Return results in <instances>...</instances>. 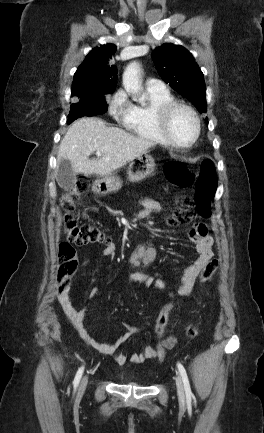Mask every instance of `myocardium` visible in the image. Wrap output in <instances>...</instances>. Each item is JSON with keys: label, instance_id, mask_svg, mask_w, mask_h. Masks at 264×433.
<instances>
[{"label": "myocardium", "instance_id": "f54148a6", "mask_svg": "<svg viewBox=\"0 0 264 433\" xmlns=\"http://www.w3.org/2000/svg\"><path fill=\"white\" fill-rule=\"evenodd\" d=\"M184 109L187 110L193 117L196 125V130L194 137L189 143L180 144L178 143L171 135L170 132V121L173 114L179 110ZM157 122L159 129L167 141V143L176 148H189L193 146L199 139L201 134V119L197 113V111L190 105L182 102V101H172L168 104L161 106L156 112Z\"/></svg>", "mask_w": 264, "mask_h": 433}]
</instances>
